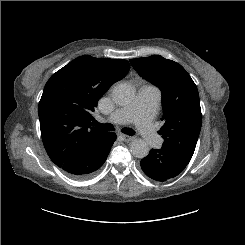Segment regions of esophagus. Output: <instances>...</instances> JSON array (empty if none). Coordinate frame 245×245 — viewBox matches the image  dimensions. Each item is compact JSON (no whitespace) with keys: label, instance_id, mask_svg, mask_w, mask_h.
Listing matches in <instances>:
<instances>
[{"label":"esophagus","instance_id":"34e87169","mask_svg":"<svg viewBox=\"0 0 245 245\" xmlns=\"http://www.w3.org/2000/svg\"><path fill=\"white\" fill-rule=\"evenodd\" d=\"M118 136L121 137L124 141H129L132 139L131 136H129L127 134H123V133H118Z\"/></svg>","mask_w":245,"mask_h":245}]
</instances>
